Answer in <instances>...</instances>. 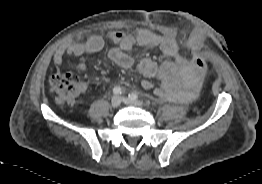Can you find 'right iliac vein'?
<instances>
[{
	"label": "right iliac vein",
	"instance_id": "right-iliac-vein-1",
	"mask_svg": "<svg viewBox=\"0 0 262 184\" xmlns=\"http://www.w3.org/2000/svg\"><path fill=\"white\" fill-rule=\"evenodd\" d=\"M120 104H121V98L117 95L113 96L111 99V106L113 108H117L120 106Z\"/></svg>",
	"mask_w": 262,
	"mask_h": 184
}]
</instances>
